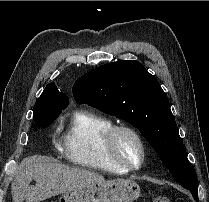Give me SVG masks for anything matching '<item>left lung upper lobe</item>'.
<instances>
[{
	"mask_svg": "<svg viewBox=\"0 0 209 202\" xmlns=\"http://www.w3.org/2000/svg\"><path fill=\"white\" fill-rule=\"evenodd\" d=\"M72 92L78 103H87L137 128L174 179L191 193L198 192L168 97L141 63L120 60L99 66L81 76Z\"/></svg>",
	"mask_w": 209,
	"mask_h": 202,
	"instance_id": "left-lung-upper-lobe-1",
	"label": "left lung upper lobe"
}]
</instances>
